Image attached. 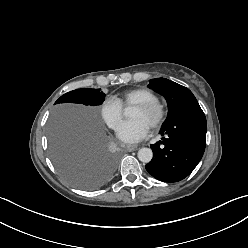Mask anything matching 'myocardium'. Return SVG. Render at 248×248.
<instances>
[{
  "label": "myocardium",
  "mask_w": 248,
  "mask_h": 248,
  "mask_svg": "<svg viewBox=\"0 0 248 248\" xmlns=\"http://www.w3.org/2000/svg\"><path fill=\"white\" fill-rule=\"evenodd\" d=\"M133 107L144 112H154V118L149 125L150 129L155 130L161 127L166 118L165 105L158 98H153L147 101L137 103Z\"/></svg>",
  "instance_id": "myocardium-1"
}]
</instances>
